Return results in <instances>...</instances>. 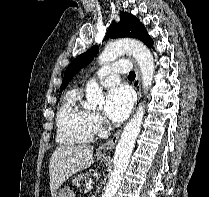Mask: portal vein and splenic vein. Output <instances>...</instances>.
Wrapping results in <instances>:
<instances>
[{
  "label": "portal vein and splenic vein",
  "instance_id": "obj_1",
  "mask_svg": "<svg viewBox=\"0 0 209 197\" xmlns=\"http://www.w3.org/2000/svg\"><path fill=\"white\" fill-rule=\"evenodd\" d=\"M86 188L87 190H91L93 188V182L91 180L86 184Z\"/></svg>",
  "mask_w": 209,
  "mask_h": 197
}]
</instances>
